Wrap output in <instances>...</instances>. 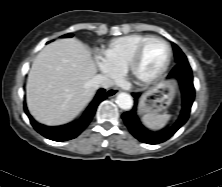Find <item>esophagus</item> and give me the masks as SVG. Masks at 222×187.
<instances>
[{"label":"esophagus","mask_w":222,"mask_h":187,"mask_svg":"<svg viewBox=\"0 0 222 187\" xmlns=\"http://www.w3.org/2000/svg\"><path fill=\"white\" fill-rule=\"evenodd\" d=\"M120 92V89L118 88H110L106 91V95L111 98L116 96Z\"/></svg>","instance_id":"esophagus-1"}]
</instances>
